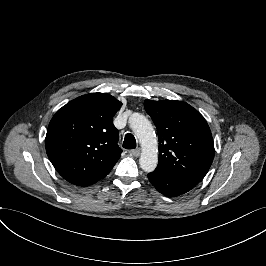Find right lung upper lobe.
<instances>
[{"label": "right lung upper lobe", "instance_id": "1", "mask_svg": "<svg viewBox=\"0 0 266 266\" xmlns=\"http://www.w3.org/2000/svg\"><path fill=\"white\" fill-rule=\"evenodd\" d=\"M122 103L105 93L80 96L63 106L47 129V155L68 182L89 186L104 178L122 150L112 119Z\"/></svg>", "mask_w": 266, "mask_h": 266}]
</instances>
